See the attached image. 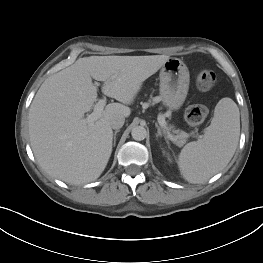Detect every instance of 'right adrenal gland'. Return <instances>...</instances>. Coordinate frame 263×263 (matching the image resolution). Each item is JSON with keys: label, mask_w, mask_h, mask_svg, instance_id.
<instances>
[{"label": "right adrenal gland", "mask_w": 263, "mask_h": 263, "mask_svg": "<svg viewBox=\"0 0 263 263\" xmlns=\"http://www.w3.org/2000/svg\"><path fill=\"white\" fill-rule=\"evenodd\" d=\"M119 132V129H117V130H115V132H114V137H113V146H115L116 145V135H117V133Z\"/></svg>", "instance_id": "obj_1"}]
</instances>
